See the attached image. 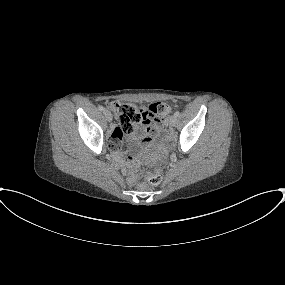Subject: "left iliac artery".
Returning a JSON list of instances; mask_svg holds the SVG:
<instances>
[{"label":"left iliac artery","instance_id":"44dca946","mask_svg":"<svg viewBox=\"0 0 285 285\" xmlns=\"http://www.w3.org/2000/svg\"><path fill=\"white\" fill-rule=\"evenodd\" d=\"M179 114H180L179 111H176V112L174 113V116L178 117Z\"/></svg>","mask_w":285,"mask_h":285}]
</instances>
